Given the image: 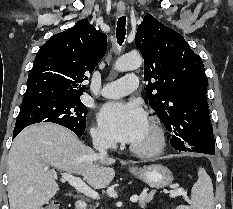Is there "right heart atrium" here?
<instances>
[{
  "label": "right heart atrium",
  "mask_w": 233,
  "mask_h": 209,
  "mask_svg": "<svg viewBox=\"0 0 233 209\" xmlns=\"http://www.w3.org/2000/svg\"><path fill=\"white\" fill-rule=\"evenodd\" d=\"M91 136L93 143L97 146H102V147L113 146V142L111 141V139L98 128H93L91 130Z\"/></svg>",
  "instance_id": "right-heart-atrium-1"
}]
</instances>
